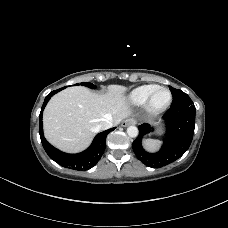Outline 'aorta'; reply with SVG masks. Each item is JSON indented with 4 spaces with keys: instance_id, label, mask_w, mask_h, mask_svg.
Listing matches in <instances>:
<instances>
[{
    "instance_id": "obj_1",
    "label": "aorta",
    "mask_w": 228,
    "mask_h": 228,
    "mask_svg": "<svg viewBox=\"0 0 228 228\" xmlns=\"http://www.w3.org/2000/svg\"><path fill=\"white\" fill-rule=\"evenodd\" d=\"M138 133H139V131L136 126L132 125L127 128V134L129 137L135 138L138 136Z\"/></svg>"
}]
</instances>
